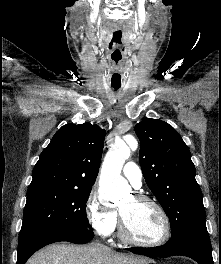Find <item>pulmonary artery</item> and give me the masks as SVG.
<instances>
[{"instance_id": "obj_1", "label": "pulmonary artery", "mask_w": 221, "mask_h": 264, "mask_svg": "<svg viewBox=\"0 0 221 264\" xmlns=\"http://www.w3.org/2000/svg\"><path fill=\"white\" fill-rule=\"evenodd\" d=\"M123 176L135 188H140L142 185L143 174L140 167L134 162H127L123 167Z\"/></svg>"}]
</instances>
